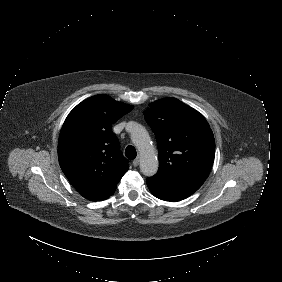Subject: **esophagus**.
<instances>
[{
  "instance_id": "esophagus-1",
  "label": "esophagus",
  "mask_w": 282,
  "mask_h": 282,
  "mask_svg": "<svg viewBox=\"0 0 282 282\" xmlns=\"http://www.w3.org/2000/svg\"><path fill=\"white\" fill-rule=\"evenodd\" d=\"M139 163H140V160H139V159H135V160L133 161V166H134V167H137V166L139 165Z\"/></svg>"
}]
</instances>
